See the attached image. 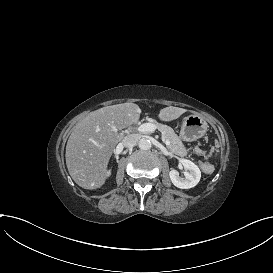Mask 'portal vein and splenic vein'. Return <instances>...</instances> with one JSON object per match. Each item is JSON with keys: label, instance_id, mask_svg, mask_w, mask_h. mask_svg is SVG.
Returning <instances> with one entry per match:
<instances>
[{"label": "portal vein and splenic vein", "instance_id": "obj_1", "mask_svg": "<svg viewBox=\"0 0 273 273\" xmlns=\"http://www.w3.org/2000/svg\"><path fill=\"white\" fill-rule=\"evenodd\" d=\"M157 129L156 125L153 123H143L138 127V131L140 132H151L153 133ZM160 139L165 145L171 144V141H168L164 135L160 136Z\"/></svg>", "mask_w": 273, "mask_h": 273}]
</instances>
